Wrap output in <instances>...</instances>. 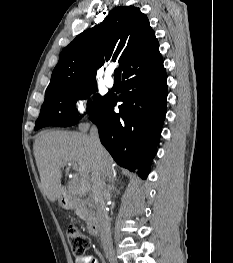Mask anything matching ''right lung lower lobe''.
Returning a JSON list of instances; mask_svg holds the SVG:
<instances>
[{
    "mask_svg": "<svg viewBox=\"0 0 233 263\" xmlns=\"http://www.w3.org/2000/svg\"><path fill=\"white\" fill-rule=\"evenodd\" d=\"M167 75L163 62L152 70L123 77L119 98L107 96L93 110L90 119L97 125L101 143L114 160L145 179L157 152L166 114ZM122 101L119 113L114 112Z\"/></svg>",
    "mask_w": 233,
    "mask_h": 263,
    "instance_id": "obj_1",
    "label": "right lung lower lobe"
}]
</instances>
